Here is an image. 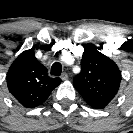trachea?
Here are the masks:
<instances>
[{"instance_id":"obj_1","label":"trachea","mask_w":133,"mask_h":133,"mask_svg":"<svg viewBox=\"0 0 133 133\" xmlns=\"http://www.w3.org/2000/svg\"><path fill=\"white\" fill-rule=\"evenodd\" d=\"M62 72V66L59 62H55L51 67V75L60 76Z\"/></svg>"}]
</instances>
